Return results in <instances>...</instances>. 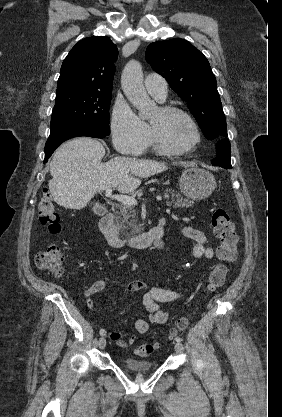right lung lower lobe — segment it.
Here are the masks:
<instances>
[{
    "instance_id": "98d812e1",
    "label": "right lung lower lobe",
    "mask_w": 282,
    "mask_h": 417,
    "mask_svg": "<svg viewBox=\"0 0 282 417\" xmlns=\"http://www.w3.org/2000/svg\"><path fill=\"white\" fill-rule=\"evenodd\" d=\"M79 136L104 138L108 135L82 125H72L52 131L50 132V136L45 145L44 162H47L51 154L62 142H64L67 139Z\"/></svg>"
}]
</instances>
